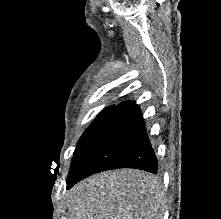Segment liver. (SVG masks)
<instances>
[{
    "label": "liver",
    "instance_id": "1",
    "mask_svg": "<svg viewBox=\"0 0 221 219\" xmlns=\"http://www.w3.org/2000/svg\"><path fill=\"white\" fill-rule=\"evenodd\" d=\"M71 219H163L164 190L150 173L121 169L93 175L69 192Z\"/></svg>",
    "mask_w": 221,
    "mask_h": 219
}]
</instances>
